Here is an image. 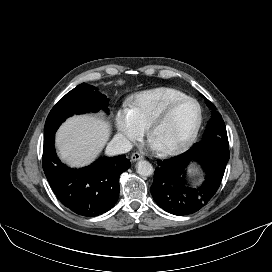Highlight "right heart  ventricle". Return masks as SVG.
I'll return each mask as SVG.
<instances>
[{
  "mask_svg": "<svg viewBox=\"0 0 272 272\" xmlns=\"http://www.w3.org/2000/svg\"><path fill=\"white\" fill-rule=\"evenodd\" d=\"M186 96L182 91L170 87L149 89L131 97L129 110L137 122L146 129L169 103Z\"/></svg>",
  "mask_w": 272,
  "mask_h": 272,
  "instance_id": "1",
  "label": "right heart ventricle"
}]
</instances>
